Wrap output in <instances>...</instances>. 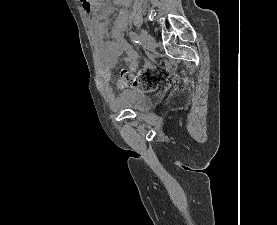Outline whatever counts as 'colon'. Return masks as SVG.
Here are the masks:
<instances>
[{"instance_id": "1", "label": "colon", "mask_w": 277, "mask_h": 225, "mask_svg": "<svg viewBox=\"0 0 277 225\" xmlns=\"http://www.w3.org/2000/svg\"><path fill=\"white\" fill-rule=\"evenodd\" d=\"M122 73L127 76L126 82L128 84L144 92H151L157 86L156 73L153 69L140 70L134 74H129L127 70H123Z\"/></svg>"}]
</instances>
